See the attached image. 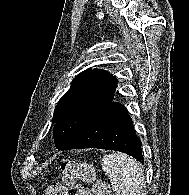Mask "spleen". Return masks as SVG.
Masks as SVG:
<instances>
[{"label": "spleen", "instance_id": "1", "mask_svg": "<svg viewBox=\"0 0 189 195\" xmlns=\"http://www.w3.org/2000/svg\"><path fill=\"white\" fill-rule=\"evenodd\" d=\"M102 170L108 175L115 195H140L145 176L140 164L124 153L107 154Z\"/></svg>", "mask_w": 189, "mask_h": 195}]
</instances>
